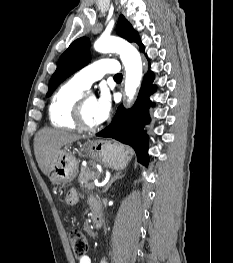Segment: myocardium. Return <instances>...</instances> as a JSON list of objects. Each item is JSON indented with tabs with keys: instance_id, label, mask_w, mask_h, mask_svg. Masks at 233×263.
<instances>
[{
	"instance_id": "f54148a6",
	"label": "myocardium",
	"mask_w": 233,
	"mask_h": 263,
	"mask_svg": "<svg viewBox=\"0 0 233 263\" xmlns=\"http://www.w3.org/2000/svg\"><path fill=\"white\" fill-rule=\"evenodd\" d=\"M83 107H84V96L81 94L78 100L75 103L73 110V117L77 127L84 131H95L99 128L98 125H89L86 123L83 116Z\"/></svg>"
}]
</instances>
